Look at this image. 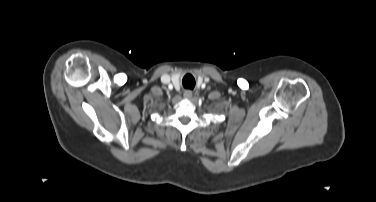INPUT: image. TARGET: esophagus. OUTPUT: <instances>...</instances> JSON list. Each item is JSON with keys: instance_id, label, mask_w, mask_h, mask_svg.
<instances>
[{"instance_id": "1", "label": "esophagus", "mask_w": 376, "mask_h": 202, "mask_svg": "<svg viewBox=\"0 0 376 202\" xmlns=\"http://www.w3.org/2000/svg\"><path fill=\"white\" fill-rule=\"evenodd\" d=\"M193 92L191 90H185L183 93L184 98L191 99Z\"/></svg>"}]
</instances>
